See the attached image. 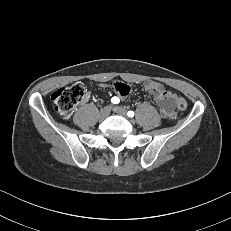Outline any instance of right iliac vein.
I'll use <instances>...</instances> for the list:
<instances>
[{
  "mask_svg": "<svg viewBox=\"0 0 231 231\" xmlns=\"http://www.w3.org/2000/svg\"><path fill=\"white\" fill-rule=\"evenodd\" d=\"M110 110H111V107H110V106L104 107L103 109H101L100 114H99V117H100L101 119H105L106 117L109 116Z\"/></svg>",
  "mask_w": 231,
  "mask_h": 231,
  "instance_id": "1",
  "label": "right iliac vein"
}]
</instances>
